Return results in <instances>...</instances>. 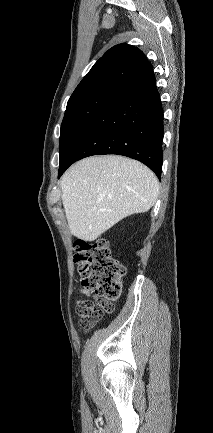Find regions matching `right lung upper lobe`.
<instances>
[{
	"label": "right lung upper lobe",
	"instance_id": "cb5924a9",
	"mask_svg": "<svg viewBox=\"0 0 213 433\" xmlns=\"http://www.w3.org/2000/svg\"><path fill=\"white\" fill-rule=\"evenodd\" d=\"M152 69L140 49L125 43L116 45L95 63L68 102L103 92L121 94Z\"/></svg>",
	"mask_w": 213,
	"mask_h": 433
}]
</instances>
